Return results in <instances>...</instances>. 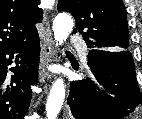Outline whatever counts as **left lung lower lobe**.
<instances>
[{"mask_svg": "<svg viewBox=\"0 0 142 119\" xmlns=\"http://www.w3.org/2000/svg\"><path fill=\"white\" fill-rule=\"evenodd\" d=\"M92 76L70 84L67 104L75 119H122L141 103L135 66L129 50L91 49Z\"/></svg>", "mask_w": 142, "mask_h": 119, "instance_id": "1", "label": "left lung lower lobe"}]
</instances>
